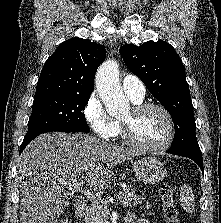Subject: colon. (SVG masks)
<instances>
[{"label": "colon", "instance_id": "colon-1", "mask_svg": "<svg viewBox=\"0 0 221 223\" xmlns=\"http://www.w3.org/2000/svg\"><path fill=\"white\" fill-rule=\"evenodd\" d=\"M159 196L166 223H181L178 208L174 203V191L172 187L169 184H163L159 189ZM57 223H72V221L68 217H62Z\"/></svg>", "mask_w": 221, "mask_h": 223}]
</instances>
